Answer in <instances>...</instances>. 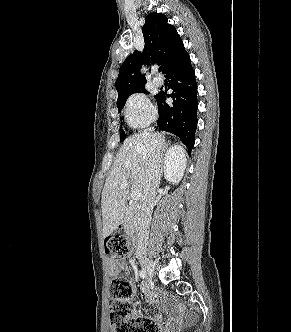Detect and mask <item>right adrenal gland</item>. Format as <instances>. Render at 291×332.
<instances>
[{
	"label": "right adrenal gland",
	"instance_id": "1",
	"mask_svg": "<svg viewBox=\"0 0 291 332\" xmlns=\"http://www.w3.org/2000/svg\"><path fill=\"white\" fill-rule=\"evenodd\" d=\"M168 148V144L167 143H164V145L162 146V153H161V157H162V160H164V152L167 150Z\"/></svg>",
	"mask_w": 291,
	"mask_h": 332
}]
</instances>
